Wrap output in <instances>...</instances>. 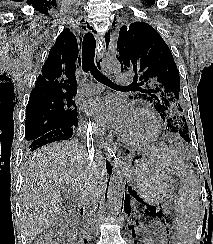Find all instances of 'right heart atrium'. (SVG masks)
I'll return each mask as SVG.
<instances>
[{"mask_svg":"<svg viewBox=\"0 0 213 244\" xmlns=\"http://www.w3.org/2000/svg\"><path fill=\"white\" fill-rule=\"evenodd\" d=\"M80 132L83 134H86V135H90V134L95 133V129L92 127L91 124L85 123V124L81 125Z\"/></svg>","mask_w":213,"mask_h":244,"instance_id":"obj_1","label":"right heart atrium"}]
</instances>
